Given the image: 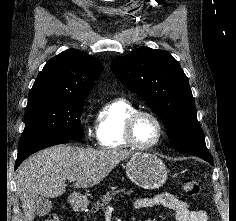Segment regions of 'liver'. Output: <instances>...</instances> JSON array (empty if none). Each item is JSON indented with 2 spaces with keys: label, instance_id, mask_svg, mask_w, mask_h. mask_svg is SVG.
<instances>
[{
  "label": "liver",
  "instance_id": "1",
  "mask_svg": "<svg viewBox=\"0 0 236 221\" xmlns=\"http://www.w3.org/2000/svg\"><path fill=\"white\" fill-rule=\"evenodd\" d=\"M130 150L54 146L25 160L17 169V192L25 221H33L39 195L56 198L66 190V180L74 177V187L89 188L100 183Z\"/></svg>",
  "mask_w": 236,
  "mask_h": 221
}]
</instances>
